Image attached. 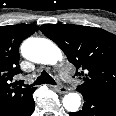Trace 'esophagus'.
Returning <instances> with one entry per match:
<instances>
[{
    "label": "esophagus",
    "instance_id": "1",
    "mask_svg": "<svg viewBox=\"0 0 116 116\" xmlns=\"http://www.w3.org/2000/svg\"><path fill=\"white\" fill-rule=\"evenodd\" d=\"M54 90L57 91L60 94H65L67 92V88L63 85H56L53 86Z\"/></svg>",
    "mask_w": 116,
    "mask_h": 116
}]
</instances>
